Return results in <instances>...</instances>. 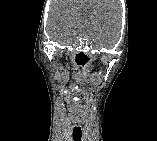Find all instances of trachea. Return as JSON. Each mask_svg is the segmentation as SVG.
I'll return each instance as SVG.
<instances>
[{
    "mask_svg": "<svg viewBox=\"0 0 157 141\" xmlns=\"http://www.w3.org/2000/svg\"><path fill=\"white\" fill-rule=\"evenodd\" d=\"M82 138V130L81 127H74L73 129V140L81 141Z\"/></svg>",
    "mask_w": 157,
    "mask_h": 141,
    "instance_id": "3493384b",
    "label": "trachea"
}]
</instances>
